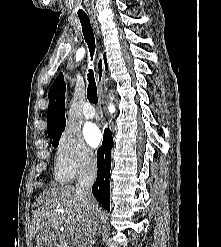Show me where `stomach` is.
Returning <instances> with one entry per match:
<instances>
[{
    "label": "stomach",
    "mask_w": 221,
    "mask_h": 247,
    "mask_svg": "<svg viewBox=\"0 0 221 247\" xmlns=\"http://www.w3.org/2000/svg\"><path fill=\"white\" fill-rule=\"evenodd\" d=\"M54 240V232H40L36 238L37 247H51Z\"/></svg>",
    "instance_id": "stomach-1"
}]
</instances>
